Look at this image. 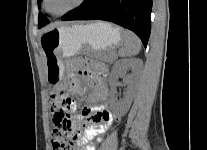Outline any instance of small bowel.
<instances>
[{"label":"small bowel","mask_w":207,"mask_h":150,"mask_svg":"<svg viewBox=\"0 0 207 150\" xmlns=\"http://www.w3.org/2000/svg\"><path fill=\"white\" fill-rule=\"evenodd\" d=\"M76 69L89 83L92 91L89 96L90 101H102L107 97L108 89L106 85V68L98 63L91 62L87 67L76 65ZM68 88L78 94H83L85 88L78 79L71 75L68 80ZM69 99L68 111L72 114L71 130L80 135L79 150H95L91 145L92 140H102V136L113 126L116 117L107 110L104 104L85 107L80 115H73L75 112V103Z\"/></svg>","instance_id":"small-bowel-1"}]
</instances>
